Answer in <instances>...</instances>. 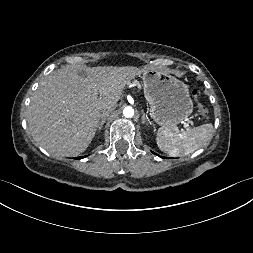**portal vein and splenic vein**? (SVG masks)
Returning <instances> with one entry per match:
<instances>
[{"mask_svg": "<svg viewBox=\"0 0 253 253\" xmlns=\"http://www.w3.org/2000/svg\"><path fill=\"white\" fill-rule=\"evenodd\" d=\"M94 96L97 97L98 96V92H94ZM184 128L188 129L189 128V124L188 123H184Z\"/></svg>", "mask_w": 253, "mask_h": 253, "instance_id": "obj_1", "label": "portal vein and splenic vein"}]
</instances>
